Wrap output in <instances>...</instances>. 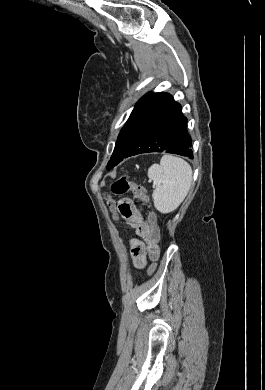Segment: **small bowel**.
Masks as SVG:
<instances>
[{
	"mask_svg": "<svg viewBox=\"0 0 265 390\" xmlns=\"http://www.w3.org/2000/svg\"><path fill=\"white\" fill-rule=\"evenodd\" d=\"M120 215L132 226L140 239H133L130 243L131 254L134 266L143 268L146 265L145 243L151 235V225L143 219L141 211L135 206L132 200L124 198L118 202Z\"/></svg>",
	"mask_w": 265,
	"mask_h": 390,
	"instance_id": "c3829d8e",
	"label": "small bowel"
}]
</instances>
